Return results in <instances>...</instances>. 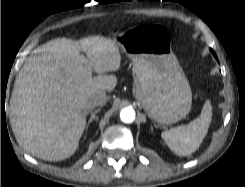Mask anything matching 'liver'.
<instances>
[{
    "label": "liver",
    "mask_w": 245,
    "mask_h": 187,
    "mask_svg": "<svg viewBox=\"0 0 245 187\" xmlns=\"http://www.w3.org/2000/svg\"><path fill=\"white\" fill-rule=\"evenodd\" d=\"M120 64L117 44L99 35L78 41L56 38L34 49L10 99V125L18 144L43 160L72 156L91 111L89 97L115 88L116 76L102 73L117 71ZM92 70L99 75L92 77Z\"/></svg>",
    "instance_id": "obj_1"
}]
</instances>
